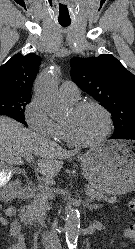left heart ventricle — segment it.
Listing matches in <instances>:
<instances>
[{"label":"left heart ventricle","instance_id":"b2bd125f","mask_svg":"<svg viewBox=\"0 0 135 249\" xmlns=\"http://www.w3.org/2000/svg\"><path fill=\"white\" fill-rule=\"evenodd\" d=\"M63 124L70 128L74 137L83 141L98 138L106 129L104 115L94 107L86 108L80 112H74L71 109Z\"/></svg>","mask_w":135,"mask_h":249}]
</instances>
